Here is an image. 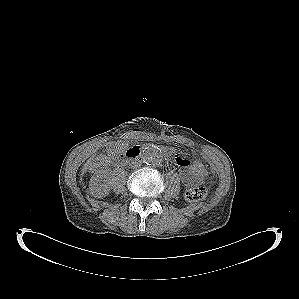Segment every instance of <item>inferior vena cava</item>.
I'll return each instance as SVG.
<instances>
[{"label": "inferior vena cava", "mask_w": 299, "mask_h": 299, "mask_svg": "<svg viewBox=\"0 0 299 299\" xmlns=\"http://www.w3.org/2000/svg\"><path fill=\"white\" fill-rule=\"evenodd\" d=\"M140 165H141L140 161H134V162H132V168H138V167H140Z\"/></svg>", "instance_id": "obj_1"}]
</instances>
